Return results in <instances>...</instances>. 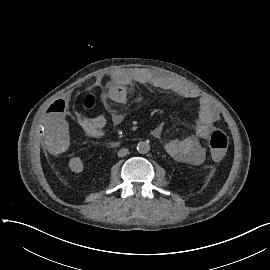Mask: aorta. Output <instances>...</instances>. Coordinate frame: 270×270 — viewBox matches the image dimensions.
<instances>
[{"mask_svg": "<svg viewBox=\"0 0 270 270\" xmlns=\"http://www.w3.org/2000/svg\"><path fill=\"white\" fill-rule=\"evenodd\" d=\"M137 151L140 154H146L150 151V145L146 141H141L137 144Z\"/></svg>", "mask_w": 270, "mask_h": 270, "instance_id": "1", "label": "aorta"}]
</instances>
